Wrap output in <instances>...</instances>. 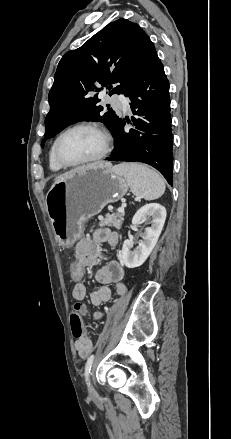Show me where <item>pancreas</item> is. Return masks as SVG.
<instances>
[{
  "instance_id": "1",
  "label": "pancreas",
  "mask_w": 231,
  "mask_h": 439,
  "mask_svg": "<svg viewBox=\"0 0 231 439\" xmlns=\"http://www.w3.org/2000/svg\"><path fill=\"white\" fill-rule=\"evenodd\" d=\"M124 220V213L107 214L104 219L100 220V226H110L120 228Z\"/></svg>"
}]
</instances>
